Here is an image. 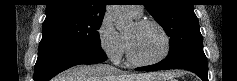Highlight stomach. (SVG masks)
Listing matches in <instances>:
<instances>
[{
	"label": "stomach",
	"mask_w": 237,
	"mask_h": 81,
	"mask_svg": "<svg viewBox=\"0 0 237 81\" xmlns=\"http://www.w3.org/2000/svg\"><path fill=\"white\" fill-rule=\"evenodd\" d=\"M151 81H173V78L171 76H162V77H157Z\"/></svg>",
	"instance_id": "1"
}]
</instances>
